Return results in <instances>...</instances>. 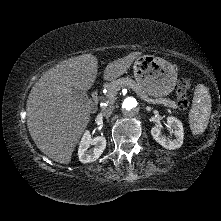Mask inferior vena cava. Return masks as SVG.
Wrapping results in <instances>:
<instances>
[{
    "label": "inferior vena cava",
    "mask_w": 221,
    "mask_h": 221,
    "mask_svg": "<svg viewBox=\"0 0 221 221\" xmlns=\"http://www.w3.org/2000/svg\"><path fill=\"white\" fill-rule=\"evenodd\" d=\"M113 110H114V106H108V107L102 109L101 114L104 117H110Z\"/></svg>",
    "instance_id": "inferior-vena-cava-1"
}]
</instances>
